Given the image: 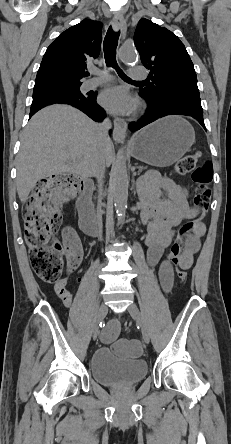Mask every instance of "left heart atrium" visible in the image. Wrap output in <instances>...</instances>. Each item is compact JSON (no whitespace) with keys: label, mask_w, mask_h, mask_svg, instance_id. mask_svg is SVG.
Listing matches in <instances>:
<instances>
[{"label":"left heart atrium","mask_w":231,"mask_h":444,"mask_svg":"<svg viewBox=\"0 0 231 444\" xmlns=\"http://www.w3.org/2000/svg\"><path fill=\"white\" fill-rule=\"evenodd\" d=\"M99 101L106 110L116 114L129 113L135 107V101L129 91L121 86L104 90Z\"/></svg>","instance_id":"left-heart-atrium-1"}]
</instances>
